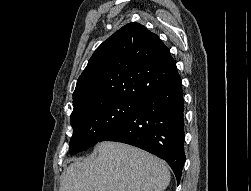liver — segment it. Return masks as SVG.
I'll use <instances>...</instances> for the list:
<instances>
[{"label":"liver","mask_w":251,"mask_h":191,"mask_svg":"<svg viewBox=\"0 0 251 191\" xmlns=\"http://www.w3.org/2000/svg\"><path fill=\"white\" fill-rule=\"evenodd\" d=\"M96 157L67 167L59 191H164L170 171L163 159L118 141H101Z\"/></svg>","instance_id":"obj_1"}]
</instances>
